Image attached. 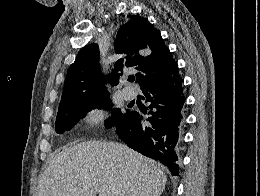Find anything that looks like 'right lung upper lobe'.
I'll return each instance as SVG.
<instances>
[{
    "instance_id": "obj_1",
    "label": "right lung upper lobe",
    "mask_w": 260,
    "mask_h": 196,
    "mask_svg": "<svg viewBox=\"0 0 260 196\" xmlns=\"http://www.w3.org/2000/svg\"><path fill=\"white\" fill-rule=\"evenodd\" d=\"M128 17L130 19L120 27L114 41L118 60L109 75L111 85L119 83L126 69L138 71L136 83L141 88L173 74L178 64L165 46L160 32L146 18L138 15ZM106 81L100 71L98 45L85 46L69 67L59 110L84 97L108 93Z\"/></svg>"
}]
</instances>
